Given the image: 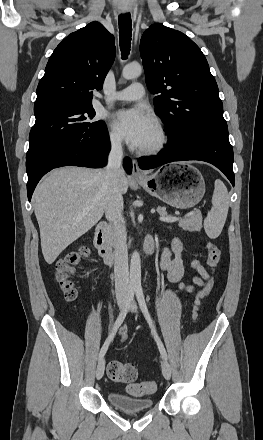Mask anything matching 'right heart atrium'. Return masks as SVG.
Wrapping results in <instances>:
<instances>
[{
	"label": "right heart atrium",
	"instance_id": "right-heart-atrium-1",
	"mask_svg": "<svg viewBox=\"0 0 263 440\" xmlns=\"http://www.w3.org/2000/svg\"><path fill=\"white\" fill-rule=\"evenodd\" d=\"M108 141H109L110 145L113 147H119L122 144L121 137L113 129H110L108 132Z\"/></svg>",
	"mask_w": 263,
	"mask_h": 440
}]
</instances>
